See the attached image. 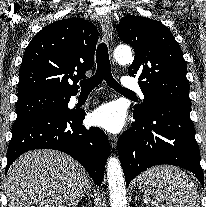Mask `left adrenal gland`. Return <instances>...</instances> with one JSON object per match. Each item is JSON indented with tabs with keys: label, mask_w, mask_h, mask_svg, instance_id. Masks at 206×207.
Instances as JSON below:
<instances>
[{
	"label": "left adrenal gland",
	"mask_w": 206,
	"mask_h": 207,
	"mask_svg": "<svg viewBox=\"0 0 206 207\" xmlns=\"http://www.w3.org/2000/svg\"><path fill=\"white\" fill-rule=\"evenodd\" d=\"M137 200H138V198H137V197H135V203L137 202Z\"/></svg>",
	"instance_id": "1"
}]
</instances>
